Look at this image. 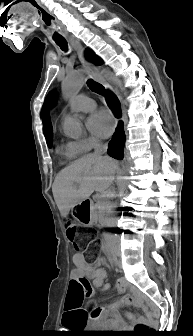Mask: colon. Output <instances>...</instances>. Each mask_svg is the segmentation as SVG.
<instances>
[{
  "label": "colon",
  "instance_id": "1",
  "mask_svg": "<svg viewBox=\"0 0 193 336\" xmlns=\"http://www.w3.org/2000/svg\"><path fill=\"white\" fill-rule=\"evenodd\" d=\"M66 236L68 240L74 245L75 249L82 254H94L98 247V242L93 239H88L72 222L66 223ZM90 285L86 284L84 288V297L89 296ZM152 328L145 324H138L132 331L133 336H148Z\"/></svg>",
  "mask_w": 193,
  "mask_h": 336
}]
</instances>
